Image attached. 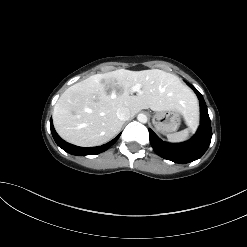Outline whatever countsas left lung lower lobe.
<instances>
[{"label":"left lung lower lobe","mask_w":247,"mask_h":247,"mask_svg":"<svg viewBox=\"0 0 247 247\" xmlns=\"http://www.w3.org/2000/svg\"><path fill=\"white\" fill-rule=\"evenodd\" d=\"M187 84L195 91L200 101L201 125L195 136L186 142L171 144L163 142L149 128L150 143L154 151L160 157L175 163H189L199 159L208 149L212 137L211 122L203 96L193 85Z\"/></svg>","instance_id":"0a47b994"}]
</instances>
